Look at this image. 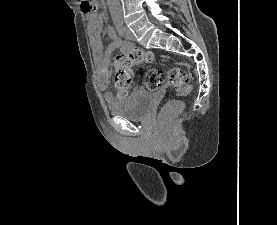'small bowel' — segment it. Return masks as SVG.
Wrapping results in <instances>:
<instances>
[{
	"instance_id": "c3829d8e",
	"label": "small bowel",
	"mask_w": 277,
	"mask_h": 225,
	"mask_svg": "<svg viewBox=\"0 0 277 225\" xmlns=\"http://www.w3.org/2000/svg\"><path fill=\"white\" fill-rule=\"evenodd\" d=\"M87 20L89 21V33L91 37V46L93 50V54L96 62L101 67V72L105 73L108 70V65L110 62V58L115 49H127L129 47L128 44L123 42L117 35L115 29L111 26L106 28V32L108 36L111 38V44L102 51L101 47V37H102V20L98 19L94 14L88 13ZM111 94L109 92H105V98L111 99Z\"/></svg>"
}]
</instances>
